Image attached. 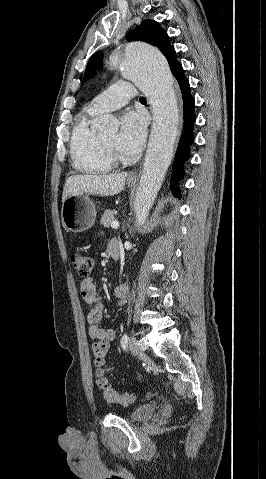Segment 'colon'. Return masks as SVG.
Here are the masks:
<instances>
[{
	"label": "colon",
	"mask_w": 266,
	"mask_h": 479,
	"mask_svg": "<svg viewBox=\"0 0 266 479\" xmlns=\"http://www.w3.org/2000/svg\"><path fill=\"white\" fill-rule=\"evenodd\" d=\"M71 264L79 277L88 278L93 268V259L87 254L76 251L71 255ZM92 350L94 355V363L98 367L96 382L98 388L103 394L104 399L110 403H117L121 405L133 403L136 399L134 394L117 393L113 388H111L107 378L104 376L102 367L105 364V358L108 352V342L105 340H99L93 344Z\"/></svg>",
	"instance_id": "5ec220e1"
}]
</instances>
